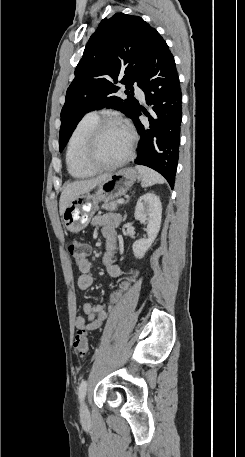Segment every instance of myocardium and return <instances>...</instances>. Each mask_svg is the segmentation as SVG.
<instances>
[{"label": "myocardium", "instance_id": "1", "mask_svg": "<svg viewBox=\"0 0 245 457\" xmlns=\"http://www.w3.org/2000/svg\"><path fill=\"white\" fill-rule=\"evenodd\" d=\"M111 127L121 128L127 133L129 140H130L127 150L125 151V153L123 155H121L120 157H118L117 159H115L111 162L105 163L103 165L91 164L87 159V151L90 150V148L92 146L96 145L99 142V139H100L102 133L106 129L111 128ZM135 145H136V137H135L134 132L129 127L124 125L122 122L115 120V119L99 120L91 128L90 132L88 133L87 138H86V143L79 153L78 160H79L80 165L83 168H85L86 170H88L92 173L100 172L103 170H111V169L117 168V167L121 166L122 164L126 163L132 157V155L134 153Z\"/></svg>", "mask_w": 245, "mask_h": 457}]
</instances>
